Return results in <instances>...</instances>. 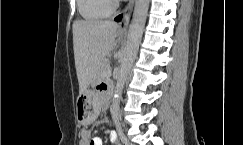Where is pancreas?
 <instances>
[{
    "mask_svg": "<svg viewBox=\"0 0 243 145\" xmlns=\"http://www.w3.org/2000/svg\"><path fill=\"white\" fill-rule=\"evenodd\" d=\"M110 66H109V63L108 61H103L101 64H100V67H99V70H98V73H97V79H104L106 77H108L110 75Z\"/></svg>",
    "mask_w": 243,
    "mask_h": 145,
    "instance_id": "1",
    "label": "pancreas"
}]
</instances>
